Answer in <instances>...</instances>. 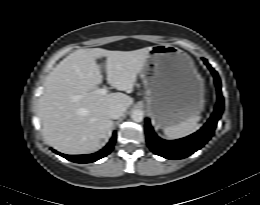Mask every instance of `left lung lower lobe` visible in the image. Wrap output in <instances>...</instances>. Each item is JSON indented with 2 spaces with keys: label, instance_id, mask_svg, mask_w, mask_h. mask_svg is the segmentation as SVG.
Instances as JSON below:
<instances>
[{
  "label": "left lung lower lobe",
  "instance_id": "left-lung-lower-lobe-1",
  "mask_svg": "<svg viewBox=\"0 0 260 205\" xmlns=\"http://www.w3.org/2000/svg\"><path fill=\"white\" fill-rule=\"evenodd\" d=\"M204 62L212 72L217 87V105L214 113L199 131L188 137L173 141H167L159 138L154 133L149 119H147L145 126L147 143L153 153L167 159H182L193 154L195 151L204 146V144L214 134L217 121L220 119L224 108V100L221 93V82L217 72L207 63V60H204Z\"/></svg>",
  "mask_w": 260,
  "mask_h": 205
}]
</instances>
